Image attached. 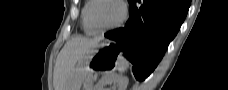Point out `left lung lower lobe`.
<instances>
[{
	"mask_svg": "<svg viewBox=\"0 0 228 90\" xmlns=\"http://www.w3.org/2000/svg\"><path fill=\"white\" fill-rule=\"evenodd\" d=\"M129 20L123 28L105 34L117 42L118 52L134 65L139 81L147 78L163 57L183 23L188 0H128Z\"/></svg>",
	"mask_w": 228,
	"mask_h": 90,
	"instance_id": "left-lung-lower-lobe-1",
	"label": "left lung lower lobe"
}]
</instances>
